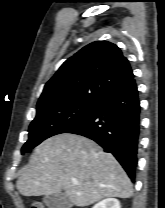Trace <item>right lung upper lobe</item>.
<instances>
[{"label":"right lung upper lobe","mask_w":165,"mask_h":208,"mask_svg":"<svg viewBox=\"0 0 165 208\" xmlns=\"http://www.w3.org/2000/svg\"><path fill=\"white\" fill-rule=\"evenodd\" d=\"M134 78L121 50L107 41L93 42L67 59L46 83L37 109L63 102H95Z\"/></svg>","instance_id":"cb5924a9"}]
</instances>
